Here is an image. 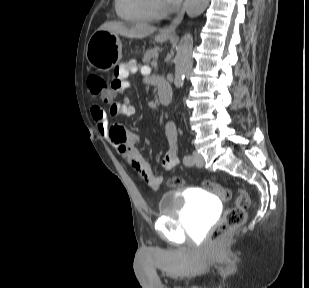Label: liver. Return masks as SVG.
I'll return each mask as SVG.
<instances>
[{
	"instance_id": "6515ba94",
	"label": "liver",
	"mask_w": 309,
	"mask_h": 288,
	"mask_svg": "<svg viewBox=\"0 0 309 288\" xmlns=\"http://www.w3.org/2000/svg\"><path fill=\"white\" fill-rule=\"evenodd\" d=\"M100 30H107L113 34L127 38L142 39L154 33L157 28L144 23L127 24L121 21H109L102 24Z\"/></svg>"
}]
</instances>
